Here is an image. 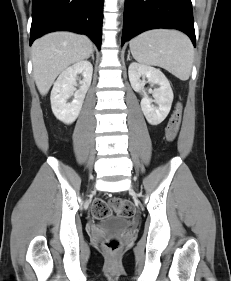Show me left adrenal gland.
<instances>
[{"label": "left adrenal gland", "mask_w": 231, "mask_h": 281, "mask_svg": "<svg viewBox=\"0 0 231 281\" xmlns=\"http://www.w3.org/2000/svg\"><path fill=\"white\" fill-rule=\"evenodd\" d=\"M127 60H130V51H128Z\"/></svg>", "instance_id": "1"}]
</instances>
